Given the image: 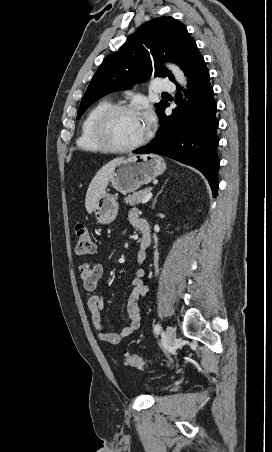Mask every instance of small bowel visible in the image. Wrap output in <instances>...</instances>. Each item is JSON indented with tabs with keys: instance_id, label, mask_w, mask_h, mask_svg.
Listing matches in <instances>:
<instances>
[{
	"instance_id": "small-bowel-1",
	"label": "small bowel",
	"mask_w": 272,
	"mask_h": 452,
	"mask_svg": "<svg viewBox=\"0 0 272 452\" xmlns=\"http://www.w3.org/2000/svg\"><path fill=\"white\" fill-rule=\"evenodd\" d=\"M129 219L133 226L139 219V214L136 209H132L129 213ZM144 255L138 254V260L142 261ZM80 279L83 287L87 292H93L96 289L99 279L104 273L102 264L91 265L88 263H81L78 266ZM142 271H138L137 275L130 282V292L127 304L128 325L120 332H110L106 329L101 321L100 311L104 306V296L99 293L91 294L87 299V307L91 312V320L94 328L97 330L98 337L102 342L117 345L123 339L132 335L139 327L141 320V310L138 304L139 300L148 294V288L142 281Z\"/></svg>"
}]
</instances>
